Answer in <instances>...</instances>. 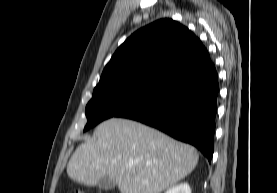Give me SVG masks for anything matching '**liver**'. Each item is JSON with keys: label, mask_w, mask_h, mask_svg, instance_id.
Masks as SVG:
<instances>
[{"label": "liver", "mask_w": 277, "mask_h": 193, "mask_svg": "<svg viewBox=\"0 0 277 193\" xmlns=\"http://www.w3.org/2000/svg\"><path fill=\"white\" fill-rule=\"evenodd\" d=\"M93 135L67 165L72 180L89 186L108 176L121 193H161L190 174L199 159L192 146L132 120L111 118Z\"/></svg>", "instance_id": "liver-1"}]
</instances>
